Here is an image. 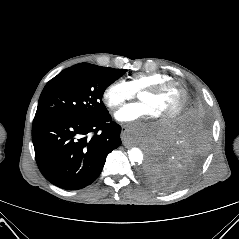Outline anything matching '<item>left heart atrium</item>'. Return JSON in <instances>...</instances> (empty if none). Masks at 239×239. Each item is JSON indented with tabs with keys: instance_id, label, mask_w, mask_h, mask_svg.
<instances>
[{
	"instance_id": "obj_1",
	"label": "left heart atrium",
	"mask_w": 239,
	"mask_h": 239,
	"mask_svg": "<svg viewBox=\"0 0 239 239\" xmlns=\"http://www.w3.org/2000/svg\"><path fill=\"white\" fill-rule=\"evenodd\" d=\"M116 119L123 123H133L138 120L150 121L155 118L151 108L143 102L132 103L122 108L115 115ZM148 123H140L139 126L133 128L135 132H142L149 128Z\"/></svg>"
}]
</instances>
